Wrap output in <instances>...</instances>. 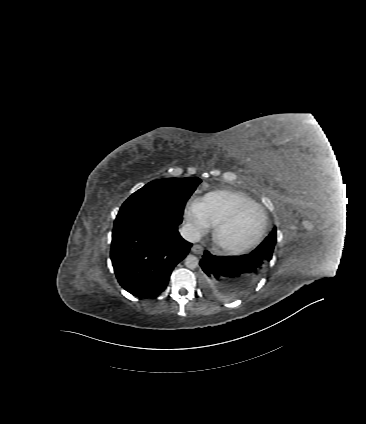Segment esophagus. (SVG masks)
Listing matches in <instances>:
<instances>
[{
    "mask_svg": "<svg viewBox=\"0 0 366 424\" xmlns=\"http://www.w3.org/2000/svg\"><path fill=\"white\" fill-rule=\"evenodd\" d=\"M191 250L195 254H201L203 251V248L200 245H194Z\"/></svg>",
    "mask_w": 366,
    "mask_h": 424,
    "instance_id": "obj_1",
    "label": "esophagus"
}]
</instances>
